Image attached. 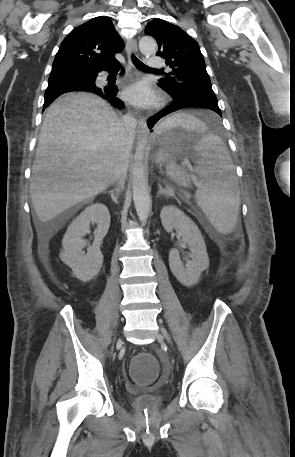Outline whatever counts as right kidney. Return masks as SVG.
<instances>
[{
  "label": "right kidney",
  "mask_w": 295,
  "mask_h": 457,
  "mask_svg": "<svg viewBox=\"0 0 295 457\" xmlns=\"http://www.w3.org/2000/svg\"><path fill=\"white\" fill-rule=\"evenodd\" d=\"M96 224L95 239L85 255L82 249L86 246L83 236L90 229V224ZM110 226L108 208L102 203L88 206L71 222L62 240L63 251L61 260L69 266L76 278L83 282L91 280L98 274L103 262L100 245Z\"/></svg>",
  "instance_id": "ca27d5eb"
}]
</instances>
